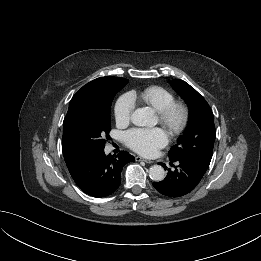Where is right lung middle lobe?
<instances>
[{"instance_id": "right-lung-middle-lobe-1", "label": "right lung middle lobe", "mask_w": 261, "mask_h": 261, "mask_svg": "<svg viewBox=\"0 0 261 261\" xmlns=\"http://www.w3.org/2000/svg\"><path fill=\"white\" fill-rule=\"evenodd\" d=\"M128 80L121 78L107 93L83 98L63 122L64 158L77 159L104 149L110 140V108L114 96Z\"/></svg>"}]
</instances>
